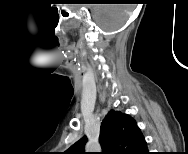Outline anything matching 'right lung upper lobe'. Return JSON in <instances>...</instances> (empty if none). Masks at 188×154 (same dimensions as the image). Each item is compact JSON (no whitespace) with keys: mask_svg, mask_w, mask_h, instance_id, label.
I'll list each match as a JSON object with an SVG mask.
<instances>
[{"mask_svg":"<svg viewBox=\"0 0 188 154\" xmlns=\"http://www.w3.org/2000/svg\"><path fill=\"white\" fill-rule=\"evenodd\" d=\"M84 136L66 152L67 154H85ZM103 154H144L146 141L136 121L128 114L110 110L100 127L99 138Z\"/></svg>","mask_w":188,"mask_h":154,"instance_id":"obj_1","label":"right lung upper lobe"}]
</instances>
